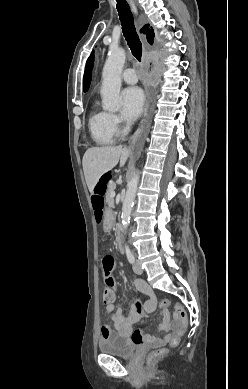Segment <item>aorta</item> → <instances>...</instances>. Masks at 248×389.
Returning <instances> with one entry per match:
<instances>
[{"label":"aorta","mask_w":248,"mask_h":389,"mask_svg":"<svg viewBox=\"0 0 248 389\" xmlns=\"http://www.w3.org/2000/svg\"><path fill=\"white\" fill-rule=\"evenodd\" d=\"M126 54L122 48H112L108 53L102 72L101 95L103 108L109 111H117L120 104L121 74L125 63ZM139 175L136 171L127 185V191L122 206L121 222L124 230L130 223V215L136 197Z\"/></svg>","instance_id":"aorta-1"}]
</instances>
